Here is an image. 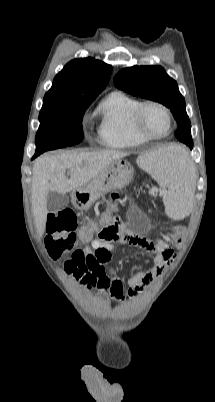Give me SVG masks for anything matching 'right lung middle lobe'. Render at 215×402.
I'll return each mask as SVG.
<instances>
[{
  "mask_svg": "<svg viewBox=\"0 0 215 402\" xmlns=\"http://www.w3.org/2000/svg\"><path fill=\"white\" fill-rule=\"evenodd\" d=\"M95 98H44L39 114L33 159L47 150L75 145L82 141V119Z\"/></svg>",
  "mask_w": 215,
  "mask_h": 402,
  "instance_id": "dd1d6c3e",
  "label": "right lung middle lobe"
}]
</instances>
